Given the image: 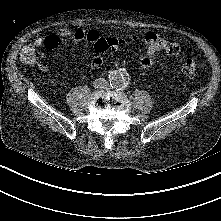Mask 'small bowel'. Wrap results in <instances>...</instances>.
Wrapping results in <instances>:
<instances>
[{
	"instance_id": "small-bowel-1",
	"label": "small bowel",
	"mask_w": 221,
	"mask_h": 221,
	"mask_svg": "<svg viewBox=\"0 0 221 221\" xmlns=\"http://www.w3.org/2000/svg\"><path fill=\"white\" fill-rule=\"evenodd\" d=\"M128 37L132 39V41L136 40L134 35L129 34ZM64 38H71L76 43L87 41L94 44L102 37L96 30H84L81 28L71 30L69 28H60L46 38L37 37L34 40V45L38 49H41L42 47L54 48L58 46ZM144 41L147 48L145 53L139 57V64L144 69L151 68L155 65L158 52L163 51L169 55H176L179 52V45L176 42L170 41L154 32L146 33ZM40 56L45 58V55L42 52H40ZM102 65L103 57L101 53L93 57L90 61V66L93 69H99ZM37 66L43 72L48 70V66L44 63H38Z\"/></svg>"
}]
</instances>
